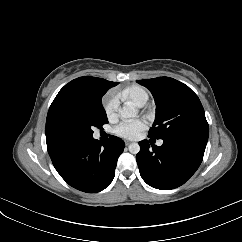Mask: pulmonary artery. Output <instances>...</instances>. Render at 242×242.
I'll return each mask as SVG.
<instances>
[{
  "label": "pulmonary artery",
  "mask_w": 242,
  "mask_h": 242,
  "mask_svg": "<svg viewBox=\"0 0 242 242\" xmlns=\"http://www.w3.org/2000/svg\"><path fill=\"white\" fill-rule=\"evenodd\" d=\"M163 144V140H159L158 142H157V145L158 146H161Z\"/></svg>",
  "instance_id": "1"
}]
</instances>
